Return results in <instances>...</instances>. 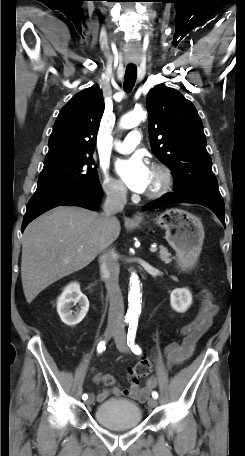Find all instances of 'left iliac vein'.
Masks as SVG:
<instances>
[{
  "label": "left iliac vein",
  "mask_w": 245,
  "mask_h": 456,
  "mask_svg": "<svg viewBox=\"0 0 245 456\" xmlns=\"http://www.w3.org/2000/svg\"><path fill=\"white\" fill-rule=\"evenodd\" d=\"M114 340H115L116 346L119 351H121L123 353L129 352V346L127 345V342H126V334L123 329L118 330V332L114 335ZM157 404H158V402L155 398L148 399V405L151 408L156 407Z\"/></svg>",
  "instance_id": "obj_1"
}]
</instances>
